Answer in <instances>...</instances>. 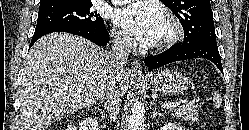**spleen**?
Here are the masks:
<instances>
[{
    "label": "spleen",
    "instance_id": "spleen-1",
    "mask_svg": "<svg viewBox=\"0 0 249 130\" xmlns=\"http://www.w3.org/2000/svg\"><path fill=\"white\" fill-rule=\"evenodd\" d=\"M221 101V96L215 92L213 97V102L215 103L214 107L219 108L221 105Z\"/></svg>",
    "mask_w": 249,
    "mask_h": 130
}]
</instances>
